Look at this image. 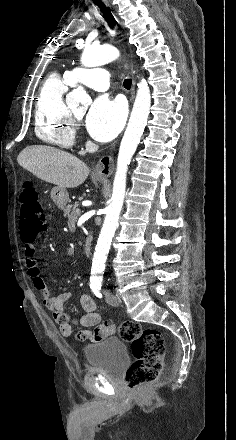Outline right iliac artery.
I'll use <instances>...</instances> for the list:
<instances>
[{
  "mask_svg": "<svg viewBox=\"0 0 236 440\" xmlns=\"http://www.w3.org/2000/svg\"><path fill=\"white\" fill-rule=\"evenodd\" d=\"M94 287L91 286V289L93 290Z\"/></svg>",
  "mask_w": 236,
  "mask_h": 440,
  "instance_id": "1",
  "label": "right iliac artery"
}]
</instances>
